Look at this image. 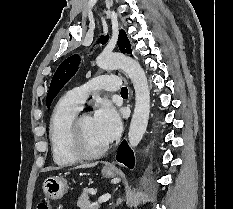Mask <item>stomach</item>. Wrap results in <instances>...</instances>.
I'll list each match as a JSON object with an SVG mask.
<instances>
[{
  "mask_svg": "<svg viewBox=\"0 0 233 209\" xmlns=\"http://www.w3.org/2000/svg\"><path fill=\"white\" fill-rule=\"evenodd\" d=\"M102 175L106 178H113L115 176V171L104 168L102 170ZM68 188L67 180L60 176H50L44 180L42 185L43 194L49 200H58L62 198Z\"/></svg>",
  "mask_w": 233,
  "mask_h": 209,
  "instance_id": "obj_1",
  "label": "stomach"
}]
</instances>
